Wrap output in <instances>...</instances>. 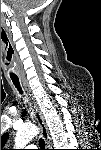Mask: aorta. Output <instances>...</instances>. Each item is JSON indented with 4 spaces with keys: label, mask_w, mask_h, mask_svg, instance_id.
Segmentation results:
<instances>
[{
    "label": "aorta",
    "mask_w": 101,
    "mask_h": 150,
    "mask_svg": "<svg viewBox=\"0 0 101 150\" xmlns=\"http://www.w3.org/2000/svg\"><path fill=\"white\" fill-rule=\"evenodd\" d=\"M39 132V129L35 125H28L20 129L15 137V146H26Z\"/></svg>",
    "instance_id": "obj_1"
}]
</instances>
